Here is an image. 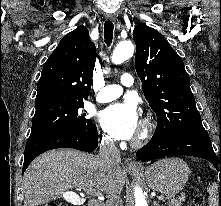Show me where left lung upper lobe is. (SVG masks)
<instances>
[{"label":"left lung upper lobe","mask_w":221,"mask_h":206,"mask_svg":"<svg viewBox=\"0 0 221 206\" xmlns=\"http://www.w3.org/2000/svg\"><path fill=\"white\" fill-rule=\"evenodd\" d=\"M133 39L136 72L142 81L145 98L158 117L152 139L187 133L206 134L181 57L163 35L146 24L135 27Z\"/></svg>","instance_id":"5c2ea615"}]
</instances>
